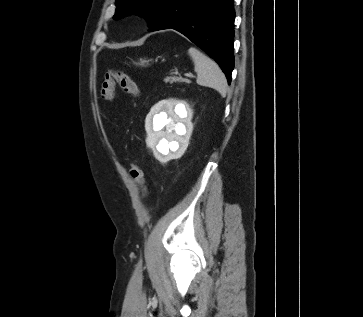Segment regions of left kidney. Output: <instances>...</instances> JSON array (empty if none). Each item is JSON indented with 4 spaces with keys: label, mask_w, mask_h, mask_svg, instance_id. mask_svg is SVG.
Returning <instances> with one entry per match:
<instances>
[{
    "label": "left kidney",
    "mask_w": 363,
    "mask_h": 317,
    "mask_svg": "<svg viewBox=\"0 0 363 317\" xmlns=\"http://www.w3.org/2000/svg\"><path fill=\"white\" fill-rule=\"evenodd\" d=\"M192 111L173 99L154 105L146 118L147 146L163 163L180 158L192 134Z\"/></svg>",
    "instance_id": "left-kidney-1"
}]
</instances>
